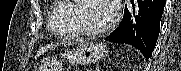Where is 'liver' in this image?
<instances>
[{
    "mask_svg": "<svg viewBox=\"0 0 181 71\" xmlns=\"http://www.w3.org/2000/svg\"><path fill=\"white\" fill-rule=\"evenodd\" d=\"M56 45L55 44H48L46 45L45 47H43L40 51H38L36 57L40 56L43 52H45L46 50L50 49V48H53L55 47Z\"/></svg>",
    "mask_w": 181,
    "mask_h": 71,
    "instance_id": "liver-1",
    "label": "liver"
}]
</instances>
